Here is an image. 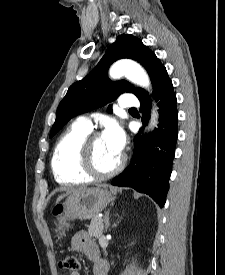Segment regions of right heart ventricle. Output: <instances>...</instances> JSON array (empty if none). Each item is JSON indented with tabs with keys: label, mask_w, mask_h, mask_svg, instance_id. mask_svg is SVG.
Returning a JSON list of instances; mask_svg holds the SVG:
<instances>
[{
	"label": "right heart ventricle",
	"mask_w": 225,
	"mask_h": 275,
	"mask_svg": "<svg viewBox=\"0 0 225 275\" xmlns=\"http://www.w3.org/2000/svg\"><path fill=\"white\" fill-rule=\"evenodd\" d=\"M90 129L73 124L57 141L51 167L57 182L63 185L82 184L90 178L78 166V149Z\"/></svg>",
	"instance_id": "e07e8e85"
}]
</instances>
